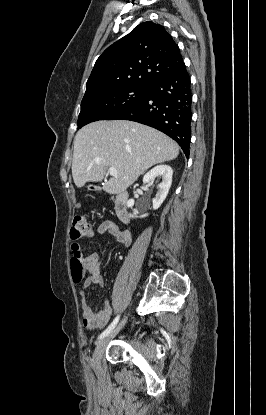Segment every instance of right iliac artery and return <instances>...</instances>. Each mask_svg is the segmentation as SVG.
Wrapping results in <instances>:
<instances>
[{
    "label": "right iliac artery",
    "instance_id": "right-iliac-artery-1",
    "mask_svg": "<svg viewBox=\"0 0 266 415\" xmlns=\"http://www.w3.org/2000/svg\"><path fill=\"white\" fill-rule=\"evenodd\" d=\"M119 321V315L112 321V323L100 334L98 339H102L107 336L116 326Z\"/></svg>",
    "mask_w": 266,
    "mask_h": 415
}]
</instances>
